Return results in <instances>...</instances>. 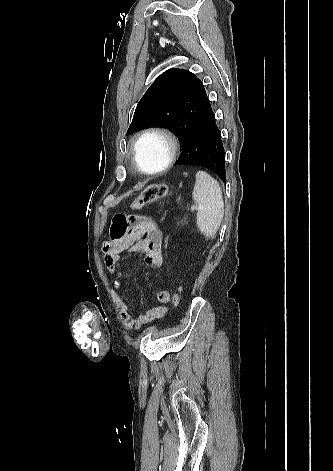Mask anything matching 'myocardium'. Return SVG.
<instances>
[{
    "mask_svg": "<svg viewBox=\"0 0 333 471\" xmlns=\"http://www.w3.org/2000/svg\"><path fill=\"white\" fill-rule=\"evenodd\" d=\"M148 136H159L161 137L167 144L168 147V154L166 157L165 162L157 169L154 170H146L144 169L138 162L137 160V147L138 144L143 140L144 138ZM178 152V142L176 137L171 133L169 130L163 127H158V126H153L146 128L142 130L140 133H138L131 144V162L133 166L141 173L146 174V175H156L159 173L164 172L166 169L169 168V166L173 163L176 155Z\"/></svg>",
    "mask_w": 333,
    "mask_h": 471,
    "instance_id": "1",
    "label": "myocardium"
}]
</instances>
